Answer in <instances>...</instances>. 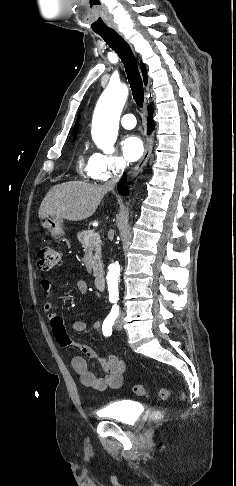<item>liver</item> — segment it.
<instances>
[{
	"instance_id": "liver-1",
	"label": "liver",
	"mask_w": 236,
	"mask_h": 486,
	"mask_svg": "<svg viewBox=\"0 0 236 486\" xmlns=\"http://www.w3.org/2000/svg\"><path fill=\"white\" fill-rule=\"evenodd\" d=\"M108 192L104 186L72 181L53 186L39 208V218L57 217L70 221L89 218Z\"/></svg>"
}]
</instances>
